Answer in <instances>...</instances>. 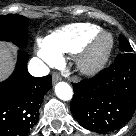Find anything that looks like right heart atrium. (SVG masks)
<instances>
[{
    "instance_id": "right-heart-atrium-1",
    "label": "right heart atrium",
    "mask_w": 136,
    "mask_h": 136,
    "mask_svg": "<svg viewBox=\"0 0 136 136\" xmlns=\"http://www.w3.org/2000/svg\"><path fill=\"white\" fill-rule=\"evenodd\" d=\"M39 55L49 64H55L59 61V55L48 49L43 42L40 43Z\"/></svg>"
}]
</instances>
